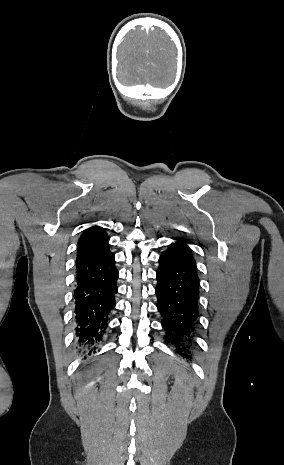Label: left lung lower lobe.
Returning a JSON list of instances; mask_svg holds the SVG:
<instances>
[{"label":"left lung lower lobe","instance_id":"1","mask_svg":"<svg viewBox=\"0 0 284 465\" xmlns=\"http://www.w3.org/2000/svg\"><path fill=\"white\" fill-rule=\"evenodd\" d=\"M156 275L157 308L163 316L164 339L176 344L178 353L187 357L185 348H190L198 325L199 279L191 249L183 240L169 245L160 256Z\"/></svg>","mask_w":284,"mask_h":465}]
</instances>
